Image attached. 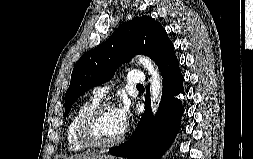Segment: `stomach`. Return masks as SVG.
<instances>
[{
	"instance_id": "0dacf381",
	"label": "stomach",
	"mask_w": 253,
	"mask_h": 159,
	"mask_svg": "<svg viewBox=\"0 0 253 159\" xmlns=\"http://www.w3.org/2000/svg\"><path fill=\"white\" fill-rule=\"evenodd\" d=\"M102 159H117V158H115V157H113V158H111V157H104Z\"/></svg>"
}]
</instances>
